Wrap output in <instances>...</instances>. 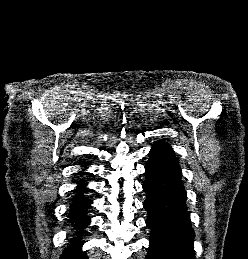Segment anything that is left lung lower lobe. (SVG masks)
I'll list each match as a JSON object with an SVG mask.
<instances>
[{"mask_svg":"<svg viewBox=\"0 0 248 259\" xmlns=\"http://www.w3.org/2000/svg\"><path fill=\"white\" fill-rule=\"evenodd\" d=\"M143 190L152 230L147 259H195L194 231L186 207L181 168L171 147L159 141L149 153Z\"/></svg>","mask_w":248,"mask_h":259,"instance_id":"1","label":"left lung lower lobe"}]
</instances>
